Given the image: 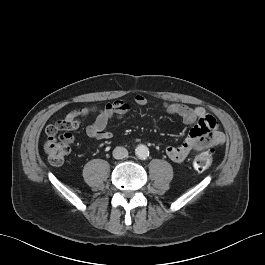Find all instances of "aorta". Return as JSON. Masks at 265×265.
I'll return each mask as SVG.
<instances>
[{
    "instance_id": "obj_1",
    "label": "aorta",
    "mask_w": 265,
    "mask_h": 265,
    "mask_svg": "<svg viewBox=\"0 0 265 265\" xmlns=\"http://www.w3.org/2000/svg\"><path fill=\"white\" fill-rule=\"evenodd\" d=\"M135 153L139 159H146L149 156V149L146 145L140 144L135 149Z\"/></svg>"
}]
</instances>
